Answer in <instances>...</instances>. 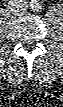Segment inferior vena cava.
<instances>
[{
    "label": "inferior vena cava",
    "instance_id": "602c4592",
    "mask_svg": "<svg viewBox=\"0 0 63 107\" xmlns=\"http://www.w3.org/2000/svg\"><path fill=\"white\" fill-rule=\"evenodd\" d=\"M9 9L14 14H23L27 10V6L22 1L14 2L9 6Z\"/></svg>",
    "mask_w": 63,
    "mask_h": 107
}]
</instances>
